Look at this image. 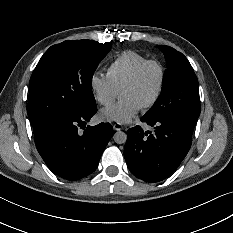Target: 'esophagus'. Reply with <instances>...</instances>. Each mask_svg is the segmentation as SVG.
Instances as JSON below:
<instances>
[{"label":"esophagus","mask_w":233,"mask_h":233,"mask_svg":"<svg viewBox=\"0 0 233 233\" xmlns=\"http://www.w3.org/2000/svg\"><path fill=\"white\" fill-rule=\"evenodd\" d=\"M113 129L116 131L122 130L123 129V125L120 123H114L113 124Z\"/></svg>","instance_id":"obj_1"}]
</instances>
